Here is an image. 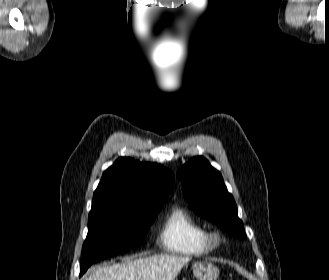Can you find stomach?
I'll return each instance as SVG.
<instances>
[{"label": "stomach", "instance_id": "0dacf381", "mask_svg": "<svg viewBox=\"0 0 329 280\" xmlns=\"http://www.w3.org/2000/svg\"><path fill=\"white\" fill-rule=\"evenodd\" d=\"M192 270L197 280H217L219 276V269L207 261L195 263Z\"/></svg>", "mask_w": 329, "mask_h": 280}]
</instances>
